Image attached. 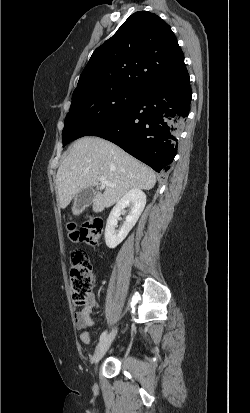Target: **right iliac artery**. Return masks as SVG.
<instances>
[{
  "instance_id": "82829eb1",
  "label": "right iliac artery",
  "mask_w": 250,
  "mask_h": 413,
  "mask_svg": "<svg viewBox=\"0 0 250 413\" xmlns=\"http://www.w3.org/2000/svg\"><path fill=\"white\" fill-rule=\"evenodd\" d=\"M106 335H107V330L106 331H104L101 335H100V341H102L105 337H106Z\"/></svg>"
}]
</instances>
